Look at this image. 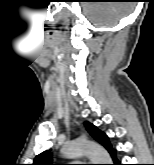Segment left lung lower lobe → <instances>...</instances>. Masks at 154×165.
<instances>
[{
    "instance_id": "1",
    "label": "left lung lower lobe",
    "mask_w": 154,
    "mask_h": 165,
    "mask_svg": "<svg viewBox=\"0 0 154 165\" xmlns=\"http://www.w3.org/2000/svg\"><path fill=\"white\" fill-rule=\"evenodd\" d=\"M112 158L114 160V164L113 165H121V163L117 160V158L115 157V151L111 154Z\"/></svg>"
}]
</instances>
